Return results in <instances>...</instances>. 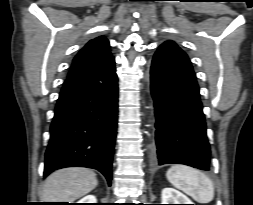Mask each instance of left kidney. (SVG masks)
Returning <instances> with one entry per match:
<instances>
[{
  "label": "left kidney",
  "mask_w": 253,
  "mask_h": 205,
  "mask_svg": "<svg viewBox=\"0 0 253 205\" xmlns=\"http://www.w3.org/2000/svg\"><path fill=\"white\" fill-rule=\"evenodd\" d=\"M161 199L162 204H193L186 195L174 188H164Z\"/></svg>",
  "instance_id": "5707ae66"
}]
</instances>
